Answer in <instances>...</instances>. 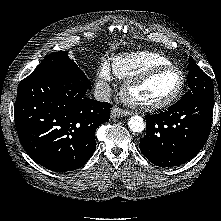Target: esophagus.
<instances>
[{
  "label": "esophagus",
  "instance_id": "esophagus-1",
  "mask_svg": "<svg viewBox=\"0 0 221 221\" xmlns=\"http://www.w3.org/2000/svg\"><path fill=\"white\" fill-rule=\"evenodd\" d=\"M129 114H130L129 112L124 111L117 106L113 107L111 110V117H113V118L128 116Z\"/></svg>",
  "mask_w": 221,
  "mask_h": 221
}]
</instances>
